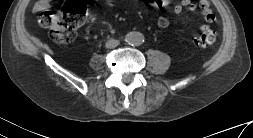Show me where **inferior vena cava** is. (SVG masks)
<instances>
[{
	"instance_id": "602c4592",
	"label": "inferior vena cava",
	"mask_w": 253,
	"mask_h": 138,
	"mask_svg": "<svg viewBox=\"0 0 253 138\" xmlns=\"http://www.w3.org/2000/svg\"><path fill=\"white\" fill-rule=\"evenodd\" d=\"M119 45V41L116 39H111L106 42V47L109 49L115 48Z\"/></svg>"
}]
</instances>
